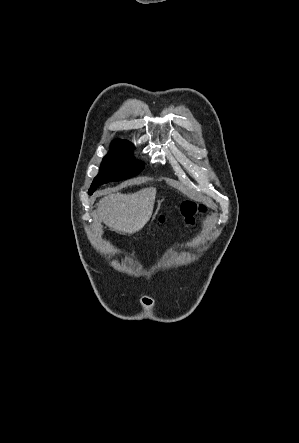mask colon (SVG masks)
Returning <instances> with one entry per match:
<instances>
[{"mask_svg": "<svg viewBox=\"0 0 299 443\" xmlns=\"http://www.w3.org/2000/svg\"><path fill=\"white\" fill-rule=\"evenodd\" d=\"M179 212L188 224H193L195 215L198 213L204 214L206 212V207L204 205H198L193 201H185L180 205ZM167 217V214H163L160 216L159 221L163 223L166 221Z\"/></svg>", "mask_w": 299, "mask_h": 443, "instance_id": "5ec220e1", "label": "colon"}]
</instances>
